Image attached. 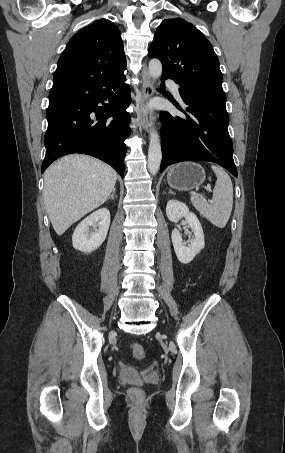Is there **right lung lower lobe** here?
<instances>
[{"label": "right lung lower lobe", "instance_id": "1", "mask_svg": "<svg viewBox=\"0 0 285 453\" xmlns=\"http://www.w3.org/2000/svg\"><path fill=\"white\" fill-rule=\"evenodd\" d=\"M125 80L124 74L95 80L82 77L53 80L46 113L48 128L42 173L57 158L82 153L110 164L123 177L124 140L130 134V117L126 112L130 89Z\"/></svg>", "mask_w": 285, "mask_h": 453}]
</instances>
